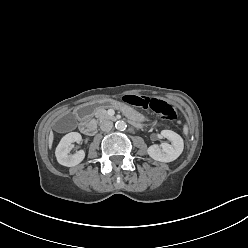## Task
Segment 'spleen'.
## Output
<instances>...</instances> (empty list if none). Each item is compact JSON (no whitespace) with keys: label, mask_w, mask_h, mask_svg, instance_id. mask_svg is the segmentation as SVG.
Returning <instances> with one entry per match:
<instances>
[{"label":"spleen","mask_w":248,"mask_h":248,"mask_svg":"<svg viewBox=\"0 0 248 248\" xmlns=\"http://www.w3.org/2000/svg\"><path fill=\"white\" fill-rule=\"evenodd\" d=\"M183 132H184L185 135L188 134V127H187L186 125H185L184 128H183Z\"/></svg>","instance_id":"obj_1"}]
</instances>
